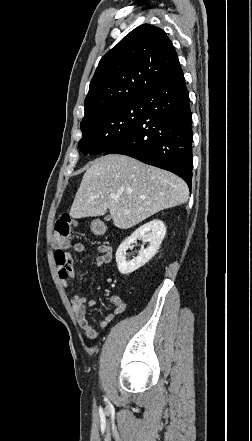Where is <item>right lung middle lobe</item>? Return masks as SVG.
<instances>
[{"label": "right lung middle lobe", "instance_id": "dd1d6c3e", "mask_svg": "<svg viewBox=\"0 0 252 441\" xmlns=\"http://www.w3.org/2000/svg\"><path fill=\"white\" fill-rule=\"evenodd\" d=\"M142 107L141 99H137L83 120L80 124L83 136L78 144L80 150L84 155L104 153L138 124Z\"/></svg>", "mask_w": 252, "mask_h": 441}]
</instances>
